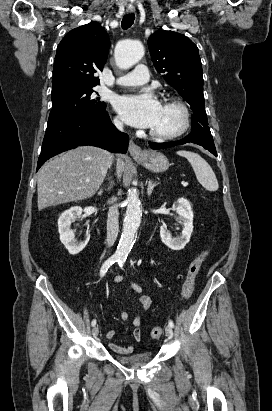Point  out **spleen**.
<instances>
[{
  "mask_svg": "<svg viewBox=\"0 0 272 411\" xmlns=\"http://www.w3.org/2000/svg\"><path fill=\"white\" fill-rule=\"evenodd\" d=\"M177 154L189 161L194 170L197 180L206 190L210 192L218 190L219 185L217 178L206 160H204L199 154L191 151L180 150L177 152Z\"/></svg>",
  "mask_w": 272,
  "mask_h": 411,
  "instance_id": "spleen-1",
  "label": "spleen"
}]
</instances>
